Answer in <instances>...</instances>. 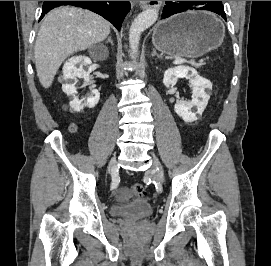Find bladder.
Segmentation results:
<instances>
[{"instance_id":"31cf9c89","label":"bladder","mask_w":271,"mask_h":266,"mask_svg":"<svg viewBox=\"0 0 271 266\" xmlns=\"http://www.w3.org/2000/svg\"><path fill=\"white\" fill-rule=\"evenodd\" d=\"M111 211L114 215L138 221L150 216L153 212V206L146 200H136L125 206L113 205Z\"/></svg>"}]
</instances>
